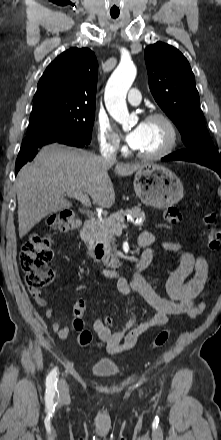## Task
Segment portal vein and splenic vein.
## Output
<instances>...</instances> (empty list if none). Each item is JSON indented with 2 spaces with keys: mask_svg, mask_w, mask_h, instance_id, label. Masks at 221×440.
<instances>
[{
  "mask_svg": "<svg viewBox=\"0 0 221 440\" xmlns=\"http://www.w3.org/2000/svg\"><path fill=\"white\" fill-rule=\"evenodd\" d=\"M67 195L69 197H74L75 199L79 200L86 207H91V201H90L89 196H88L87 193L67 192ZM125 227H127L126 224H118V225L115 226V232H122L123 228H125Z\"/></svg>",
  "mask_w": 221,
  "mask_h": 440,
  "instance_id": "1",
  "label": "portal vein and splenic vein"
}]
</instances>
